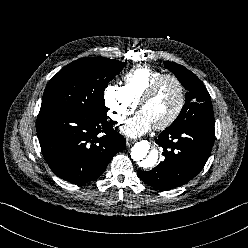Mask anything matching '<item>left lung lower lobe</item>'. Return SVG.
<instances>
[{"label": "left lung lower lobe", "instance_id": "1", "mask_svg": "<svg viewBox=\"0 0 248 248\" xmlns=\"http://www.w3.org/2000/svg\"><path fill=\"white\" fill-rule=\"evenodd\" d=\"M215 139L214 123L166 128L155 140L163 148L164 161L150 171H138L143 182L160 190L184 185L207 162Z\"/></svg>", "mask_w": 248, "mask_h": 248}]
</instances>
